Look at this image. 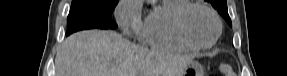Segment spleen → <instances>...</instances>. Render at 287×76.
I'll return each instance as SVG.
<instances>
[{
  "mask_svg": "<svg viewBox=\"0 0 287 76\" xmlns=\"http://www.w3.org/2000/svg\"><path fill=\"white\" fill-rule=\"evenodd\" d=\"M220 70L222 73H225L226 76H230V75L234 74L231 67H229L228 65H221Z\"/></svg>",
  "mask_w": 287,
  "mask_h": 76,
  "instance_id": "obj_1",
  "label": "spleen"
}]
</instances>
